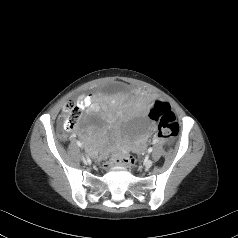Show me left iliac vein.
Returning a JSON list of instances; mask_svg holds the SVG:
<instances>
[{
  "instance_id": "4c4485c4",
  "label": "left iliac vein",
  "mask_w": 238,
  "mask_h": 238,
  "mask_svg": "<svg viewBox=\"0 0 238 238\" xmlns=\"http://www.w3.org/2000/svg\"><path fill=\"white\" fill-rule=\"evenodd\" d=\"M153 165V162L151 160H147L144 164L146 168H150Z\"/></svg>"
}]
</instances>
